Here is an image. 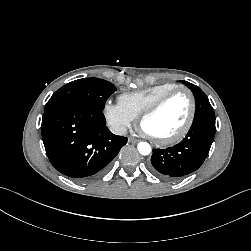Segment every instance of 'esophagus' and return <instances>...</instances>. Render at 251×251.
Instances as JSON below:
<instances>
[{
	"instance_id": "esophagus-1",
	"label": "esophagus",
	"mask_w": 251,
	"mask_h": 251,
	"mask_svg": "<svg viewBox=\"0 0 251 251\" xmlns=\"http://www.w3.org/2000/svg\"><path fill=\"white\" fill-rule=\"evenodd\" d=\"M128 141H129L130 143H138L140 140H139V139H136V138L129 137V138H128Z\"/></svg>"
}]
</instances>
